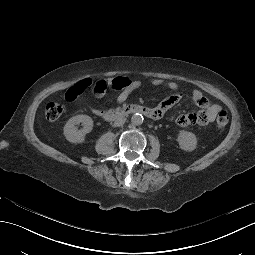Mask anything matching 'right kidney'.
<instances>
[{
    "label": "right kidney",
    "mask_w": 255,
    "mask_h": 255,
    "mask_svg": "<svg viewBox=\"0 0 255 255\" xmlns=\"http://www.w3.org/2000/svg\"><path fill=\"white\" fill-rule=\"evenodd\" d=\"M82 123L83 129L78 130L75 125ZM93 128V120L87 115H76L70 118L64 126V135L69 142L81 143Z\"/></svg>",
    "instance_id": "1"
}]
</instances>
